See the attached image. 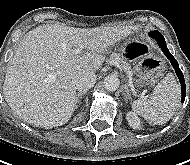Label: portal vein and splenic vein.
<instances>
[{"mask_svg":"<svg viewBox=\"0 0 190 165\" xmlns=\"http://www.w3.org/2000/svg\"><path fill=\"white\" fill-rule=\"evenodd\" d=\"M72 52H73L74 54H80V53L82 52V50L79 49V48H76V49H73ZM111 64H112V65H115V66H117L119 69H121V66H120L117 62L111 61Z\"/></svg>","mask_w":190,"mask_h":165,"instance_id":"portal-vein-and-splenic-vein-1","label":"portal vein and splenic vein"}]
</instances>
